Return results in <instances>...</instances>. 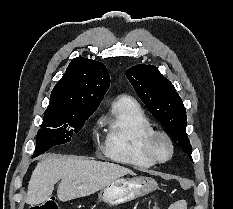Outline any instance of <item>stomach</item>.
I'll list each match as a JSON object with an SVG mask.
<instances>
[{
	"instance_id": "1",
	"label": "stomach",
	"mask_w": 233,
	"mask_h": 209,
	"mask_svg": "<svg viewBox=\"0 0 233 209\" xmlns=\"http://www.w3.org/2000/svg\"><path fill=\"white\" fill-rule=\"evenodd\" d=\"M157 188V182L151 177L117 178L100 190L98 201L117 206L149 194Z\"/></svg>"
}]
</instances>
